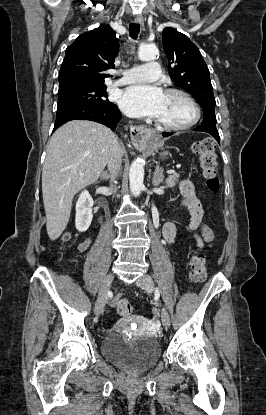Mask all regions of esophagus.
<instances>
[{
    "label": "esophagus",
    "instance_id": "obj_1",
    "mask_svg": "<svg viewBox=\"0 0 266 415\" xmlns=\"http://www.w3.org/2000/svg\"><path fill=\"white\" fill-rule=\"evenodd\" d=\"M134 23L144 25V19L142 16L138 15L134 19ZM149 132V129L144 126H134L131 128V141L135 146H140L146 142V134Z\"/></svg>",
    "mask_w": 266,
    "mask_h": 415
}]
</instances>
